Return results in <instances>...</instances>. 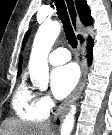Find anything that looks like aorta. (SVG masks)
I'll use <instances>...</instances> for the list:
<instances>
[{
    "mask_svg": "<svg viewBox=\"0 0 112 135\" xmlns=\"http://www.w3.org/2000/svg\"><path fill=\"white\" fill-rule=\"evenodd\" d=\"M61 25L58 21L42 24L34 38L29 60V73L35 87L45 90L49 83L48 54L58 37ZM76 107L72 106L66 114L60 135H71L75 122Z\"/></svg>",
    "mask_w": 112,
    "mask_h": 135,
    "instance_id": "obj_1",
    "label": "aorta"
}]
</instances>
